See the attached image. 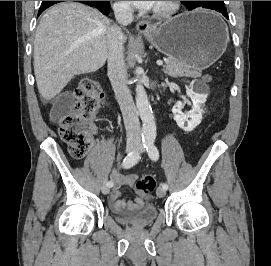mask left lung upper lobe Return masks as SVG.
<instances>
[{"label": "left lung upper lobe", "mask_w": 271, "mask_h": 266, "mask_svg": "<svg viewBox=\"0 0 271 266\" xmlns=\"http://www.w3.org/2000/svg\"><path fill=\"white\" fill-rule=\"evenodd\" d=\"M187 9L207 8L218 12L226 11L224 1H182Z\"/></svg>", "instance_id": "left-lung-upper-lobe-1"}]
</instances>
